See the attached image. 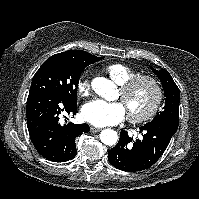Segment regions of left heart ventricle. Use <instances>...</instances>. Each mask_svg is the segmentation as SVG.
Segmentation results:
<instances>
[{
  "label": "left heart ventricle",
  "instance_id": "b2bd125f",
  "mask_svg": "<svg viewBox=\"0 0 199 199\" xmlns=\"http://www.w3.org/2000/svg\"><path fill=\"white\" fill-rule=\"evenodd\" d=\"M121 97V93H120ZM153 98V91L149 84L143 83L131 91L121 100L128 112L140 114L146 111Z\"/></svg>",
  "mask_w": 199,
  "mask_h": 199
}]
</instances>
